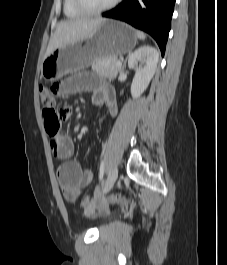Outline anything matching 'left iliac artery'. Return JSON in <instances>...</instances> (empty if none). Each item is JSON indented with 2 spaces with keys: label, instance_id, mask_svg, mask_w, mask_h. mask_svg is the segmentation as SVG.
Segmentation results:
<instances>
[{
  "label": "left iliac artery",
  "instance_id": "left-iliac-artery-1",
  "mask_svg": "<svg viewBox=\"0 0 227 265\" xmlns=\"http://www.w3.org/2000/svg\"><path fill=\"white\" fill-rule=\"evenodd\" d=\"M105 166H104V160L101 162L100 165V172H99V180L102 181L104 176Z\"/></svg>",
  "mask_w": 227,
  "mask_h": 265
}]
</instances>
